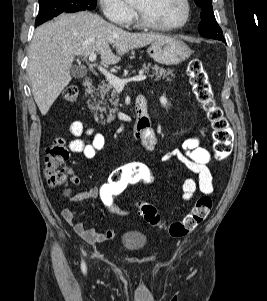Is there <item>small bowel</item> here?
I'll use <instances>...</instances> for the list:
<instances>
[{"label":"small bowel","instance_id":"small-bowel-1","mask_svg":"<svg viewBox=\"0 0 267 301\" xmlns=\"http://www.w3.org/2000/svg\"><path fill=\"white\" fill-rule=\"evenodd\" d=\"M68 132L75 137L69 142V149L73 153L82 154L87 159L95 157L97 152L105 146L104 135L86 126L81 121L76 120L71 122L68 126ZM140 141L147 150L160 152L163 161H177L197 176V179L186 178L183 181L182 191L184 200H190L197 190L204 194H211L213 192V177L208 167V164L211 162V154L201 145L199 138L191 137L183 142L181 148L162 152L158 148V135L150 127L142 133ZM70 180L76 185L80 183L79 177L73 172H71ZM98 194L99 188L92 187L76 195L73 198V202L80 203L88 199H97ZM61 214L64 220L73 227L74 231L89 244L102 243L113 239L117 234L116 231L111 229L100 232L94 228L87 227L83 221H76L75 214L71 210L65 209ZM117 215L127 217L130 214L118 209Z\"/></svg>","mask_w":267,"mask_h":301}]
</instances>
